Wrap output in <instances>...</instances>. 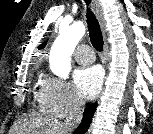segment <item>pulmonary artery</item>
I'll return each instance as SVG.
<instances>
[{
    "instance_id": "pulmonary-artery-1",
    "label": "pulmonary artery",
    "mask_w": 153,
    "mask_h": 134,
    "mask_svg": "<svg viewBox=\"0 0 153 134\" xmlns=\"http://www.w3.org/2000/svg\"><path fill=\"white\" fill-rule=\"evenodd\" d=\"M74 57L80 64L87 65L94 61V54L91 48L86 44H82L77 47L74 53Z\"/></svg>"
}]
</instances>
